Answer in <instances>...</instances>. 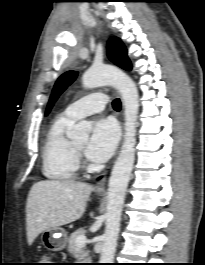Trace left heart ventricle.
Segmentation results:
<instances>
[{"label":"left heart ventricle","instance_id":"obj_1","mask_svg":"<svg viewBox=\"0 0 205 265\" xmlns=\"http://www.w3.org/2000/svg\"><path fill=\"white\" fill-rule=\"evenodd\" d=\"M85 143H86V141L82 140V141L75 142V145L82 149L84 147Z\"/></svg>","mask_w":205,"mask_h":265}]
</instances>
